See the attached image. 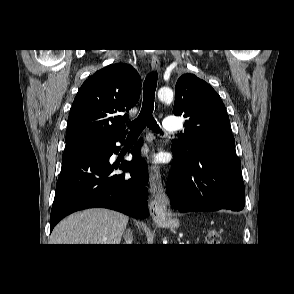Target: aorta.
<instances>
[{
	"instance_id": "obj_1",
	"label": "aorta",
	"mask_w": 294,
	"mask_h": 294,
	"mask_svg": "<svg viewBox=\"0 0 294 294\" xmlns=\"http://www.w3.org/2000/svg\"><path fill=\"white\" fill-rule=\"evenodd\" d=\"M173 96V91L170 88L163 87L158 91V98L165 103L172 102Z\"/></svg>"
}]
</instances>
